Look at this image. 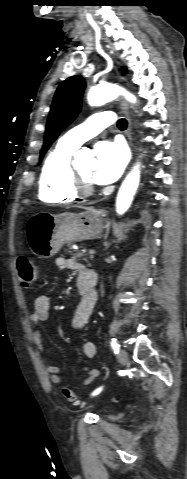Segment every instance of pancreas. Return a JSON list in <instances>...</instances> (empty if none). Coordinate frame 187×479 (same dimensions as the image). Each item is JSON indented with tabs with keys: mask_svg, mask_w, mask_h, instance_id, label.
<instances>
[{
	"mask_svg": "<svg viewBox=\"0 0 187 479\" xmlns=\"http://www.w3.org/2000/svg\"><path fill=\"white\" fill-rule=\"evenodd\" d=\"M68 245L70 246L71 244L69 243ZM70 249H71L70 252L73 253V258H74V259L80 260V258H83V257H84V254H83V253L73 251L71 247H70Z\"/></svg>",
	"mask_w": 187,
	"mask_h": 479,
	"instance_id": "1",
	"label": "pancreas"
}]
</instances>
